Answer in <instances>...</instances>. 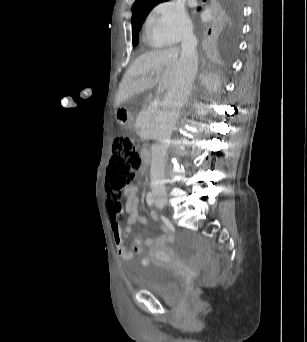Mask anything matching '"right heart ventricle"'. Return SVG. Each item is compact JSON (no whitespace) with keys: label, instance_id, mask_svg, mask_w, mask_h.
Segmentation results:
<instances>
[{"label":"right heart ventricle","instance_id":"e07e8e85","mask_svg":"<svg viewBox=\"0 0 307 342\" xmlns=\"http://www.w3.org/2000/svg\"><path fill=\"white\" fill-rule=\"evenodd\" d=\"M141 43L143 44V51L148 52H155L158 50L159 46L155 42H153L151 39L147 38L145 35H141L140 37Z\"/></svg>","mask_w":307,"mask_h":342}]
</instances>
